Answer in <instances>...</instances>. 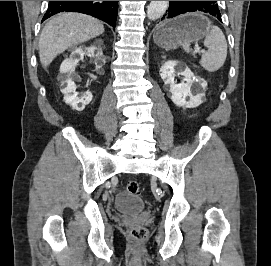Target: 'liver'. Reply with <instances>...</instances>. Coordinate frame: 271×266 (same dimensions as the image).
<instances>
[{
  "label": "liver",
  "instance_id": "liver-1",
  "mask_svg": "<svg viewBox=\"0 0 271 266\" xmlns=\"http://www.w3.org/2000/svg\"><path fill=\"white\" fill-rule=\"evenodd\" d=\"M102 22L80 13H62L52 17L44 26L39 40V57L47 67L54 58L69 47L100 36Z\"/></svg>",
  "mask_w": 271,
  "mask_h": 266
}]
</instances>
